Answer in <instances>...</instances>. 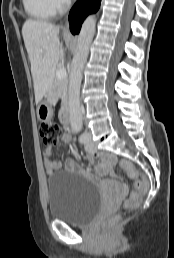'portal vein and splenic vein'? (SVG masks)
<instances>
[{"label":"portal vein and splenic vein","mask_w":174,"mask_h":258,"mask_svg":"<svg viewBox=\"0 0 174 258\" xmlns=\"http://www.w3.org/2000/svg\"><path fill=\"white\" fill-rule=\"evenodd\" d=\"M66 70L65 69H59L56 71V76L59 78V79H63L66 77Z\"/></svg>","instance_id":"obj_1"}]
</instances>
